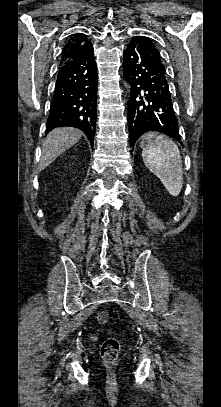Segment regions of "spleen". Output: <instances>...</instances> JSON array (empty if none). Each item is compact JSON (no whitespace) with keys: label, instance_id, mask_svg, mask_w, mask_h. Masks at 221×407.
Instances as JSON below:
<instances>
[{"label":"spleen","instance_id":"3e777b00","mask_svg":"<svg viewBox=\"0 0 221 407\" xmlns=\"http://www.w3.org/2000/svg\"><path fill=\"white\" fill-rule=\"evenodd\" d=\"M143 162L174 197L183 185V169L178 146L168 137L155 136L142 151Z\"/></svg>","mask_w":221,"mask_h":407}]
</instances>
